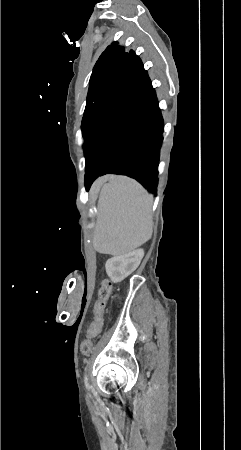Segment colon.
<instances>
[{
  "label": "colon",
  "mask_w": 241,
  "mask_h": 450,
  "mask_svg": "<svg viewBox=\"0 0 241 450\" xmlns=\"http://www.w3.org/2000/svg\"><path fill=\"white\" fill-rule=\"evenodd\" d=\"M111 292H112L111 283L108 280H105L99 292L98 300L92 307V312L93 314H96L97 317L105 312V305L103 302H107ZM88 326L90 330H100L101 320L99 318H96L94 321H90ZM81 344L82 347H80L79 352L80 354H82V356H87V354H90L92 352L93 343L91 340L85 339L82 341Z\"/></svg>",
  "instance_id": "obj_1"
}]
</instances>
